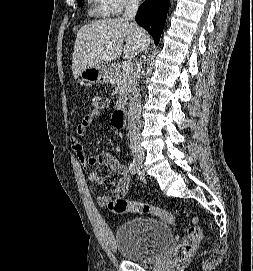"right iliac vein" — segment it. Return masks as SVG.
<instances>
[{"label":"right iliac vein","instance_id":"right-iliac-vein-1","mask_svg":"<svg viewBox=\"0 0 253 271\" xmlns=\"http://www.w3.org/2000/svg\"><path fill=\"white\" fill-rule=\"evenodd\" d=\"M134 161L139 167L143 166V162L145 159V153L144 151H134L133 152Z\"/></svg>","mask_w":253,"mask_h":271}]
</instances>
